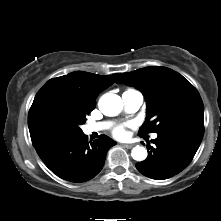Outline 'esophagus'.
Listing matches in <instances>:
<instances>
[{
    "mask_svg": "<svg viewBox=\"0 0 221 221\" xmlns=\"http://www.w3.org/2000/svg\"><path fill=\"white\" fill-rule=\"evenodd\" d=\"M134 145L133 144H123V147H125V148H128V149H130V148H132Z\"/></svg>",
    "mask_w": 221,
    "mask_h": 221,
    "instance_id": "esophagus-1",
    "label": "esophagus"
}]
</instances>
